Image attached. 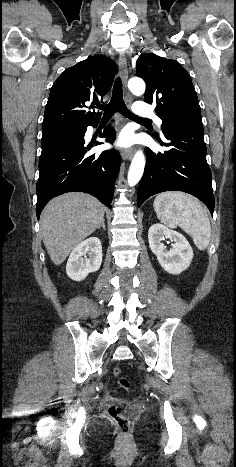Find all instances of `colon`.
I'll return each mask as SVG.
<instances>
[{
	"mask_svg": "<svg viewBox=\"0 0 236 467\" xmlns=\"http://www.w3.org/2000/svg\"><path fill=\"white\" fill-rule=\"evenodd\" d=\"M117 383L125 390L131 389V383L128 379L122 376V370L119 367H115L112 371ZM109 417L118 426L121 436L124 440H127L131 431V422L129 419L123 416L122 407L120 404H112L108 408Z\"/></svg>",
	"mask_w": 236,
	"mask_h": 467,
	"instance_id": "colon-1",
	"label": "colon"
}]
</instances>
